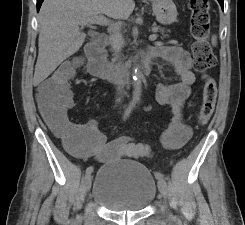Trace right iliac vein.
I'll return each mask as SVG.
<instances>
[{
  "instance_id": "obj_1",
  "label": "right iliac vein",
  "mask_w": 245,
  "mask_h": 225,
  "mask_svg": "<svg viewBox=\"0 0 245 225\" xmlns=\"http://www.w3.org/2000/svg\"><path fill=\"white\" fill-rule=\"evenodd\" d=\"M91 184H92V175L91 174H87L85 176V179H84V188H85L86 192H88L90 190Z\"/></svg>"
}]
</instances>
